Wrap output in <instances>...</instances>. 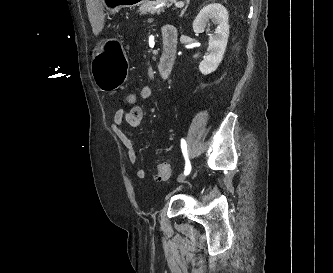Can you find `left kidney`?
I'll use <instances>...</instances> for the list:
<instances>
[{
	"label": "left kidney",
	"mask_w": 333,
	"mask_h": 273,
	"mask_svg": "<svg viewBox=\"0 0 333 273\" xmlns=\"http://www.w3.org/2000/svg\"><path fill=\"white\" fill-rule=\"evenodd\" d=\"M211 21L217 25L215 34H209L208 54L199 65L202 74L214 72L221 63L229 37V14L227 9L219 3H211L201 9L193 22L195 33H203L207 23Z\"/></svg>",
	"instance_id": "1"
}]
</instances>
